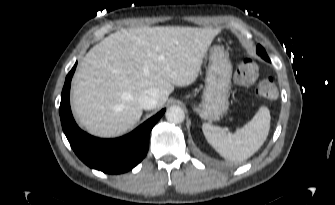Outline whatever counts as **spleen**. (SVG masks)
I'll return each mask as SVG.
<instances>
[{"instance_id": "spleen-1", "label": "spleen", "mask_w": 335, "mask_h": 205, "mask_svg": "<svg viewBox=\"0 0 335 205\" xmlns=\"http://www.w3.org/2000/svg\"><path fill=\"white\" fill-rule=\"evenodd\" d=\"M270 111L262 106L254 117L233 134L210 123L202 125L208 143L225 159L244 161L257 152L267 139L270 130Z\"/></svg>"}]
</instances>
